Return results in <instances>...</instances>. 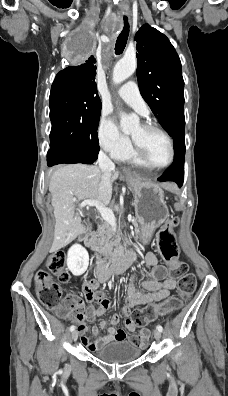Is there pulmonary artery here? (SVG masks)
<instances>
[{"instance_id": "1", "label": "pulmonary artery", "mask_w": 228, "mask_h": 396, "mask_svg": "<svg viewBox=\"0 0 228 396\" xmlns=\"http://www.w3.org/2000/svg\"><path fill=\"white\" fill-rule=\"evenodd\" d=\"M118 95L124 102L133 107L139 113L143 115L148 114L147 105L136 82L128 81L122 85L118 90Z\"/></svg>"}]
</instances>
